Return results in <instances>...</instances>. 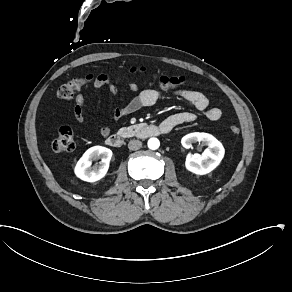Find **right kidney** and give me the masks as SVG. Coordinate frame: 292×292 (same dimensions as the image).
Wrapping results in <instances>:
<instances>
[{"label": "right kidney", "mask_w": 292, "mask_h": 292, "mask_svg": "<svg viewBox=\"0 0 292 292\" xmlns=\"http://www.w3.org/2000/svg\"><path fill=\"white\" fill-rule=\"evenodd\" d=\"M112 151L106 147L94 146L89 148L75 166V174L84 181L95 182L105 176L109 168ZM101 159L99 165L91 167L92 161Z\"/></svg>", "instance_id": "ca27d5eb"}]
</instances>
